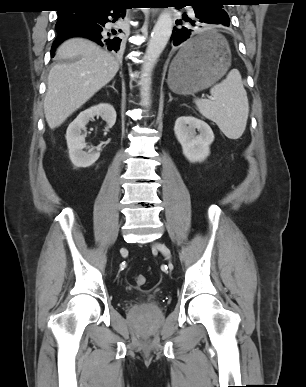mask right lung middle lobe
Here are the masks:
<instances>
[{
	"label": "right lung middle lobe",
	"mask_w": 306,
	"mask_h": 387,
	"mask_svg": "<svg viewBox=\"0 0 306 387\" xmlns=\"http://www.w3.org/2000/svg\"><path fill=\"white\" fill-rule=\"evenodd\" d=\"M86 11V8H67L62 11H58V21L55 26L56 30L60 31L82 22L86 16Z\"/></svg>",
	"instance_id": "right-lung-middle-lobe-1"
}]
</instances>
